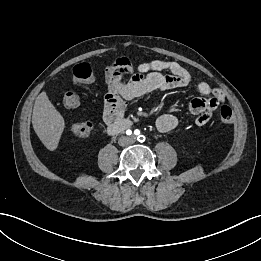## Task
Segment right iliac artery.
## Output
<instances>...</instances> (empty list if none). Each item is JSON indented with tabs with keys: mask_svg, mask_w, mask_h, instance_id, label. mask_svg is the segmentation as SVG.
Segmentation results:
<instances>
[{
	"mask_svg": "<svg viewBox=\"0 0 261 261\" xmlns=\"http://www.w3.org/2000/svg\"><path fill=\"white\" fill-rule=\"evenodd\" d=\"M126 134H127V135H131V134H132V131H131V130H127V131H126Z\"/></svg>",
	"mask_w": 261,
	"mask_h": 261,
	"instance_id": "obj_1",
	"label": "right iliac artery"
}]
</instances>
